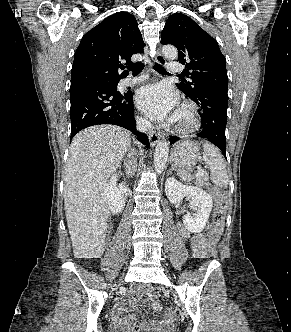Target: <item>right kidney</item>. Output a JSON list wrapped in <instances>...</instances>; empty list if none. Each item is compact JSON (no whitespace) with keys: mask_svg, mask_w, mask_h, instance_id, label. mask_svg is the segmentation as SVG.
Instances as JSON below:
<instances>
[{"mask_svg":"<svg viewBox=\"0 0 291 332\" xmlns=\"http://www.w3.org/2000/svg\"><path fill=\"white\" fill-rule=\"evenodd\" d=\"M116 181L117 176H112L104 191L108 207L113 214L121 213L125 207V198L117 187Z\"/></svg>","mask_w":291,"mask_h":332,"instance_id":"obj_1","label":"right kidney"}]
</instances>
